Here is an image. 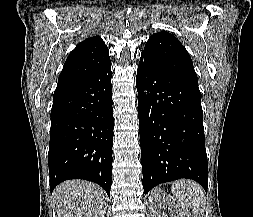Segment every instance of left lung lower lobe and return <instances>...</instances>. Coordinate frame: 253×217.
I'll return each instance as SVG.
<instances>
[{
  "label": "left lung lower lobe",
  "instance_id": "0a47b994",
  "mask_svg": "<svg viewBox=\"0 0 253 217\" xmlns=\"http://www.w3.org/2000/svg\"><path fill=\"white\" fill-rule=\"evenodd\" d=\"M141 163L145 194L180 178L197 181L207 192L201 93L144 57L136 76Z\"/></svg>",
  "mask_w": 253,
  "mask_h": 217
}]
</instances>
